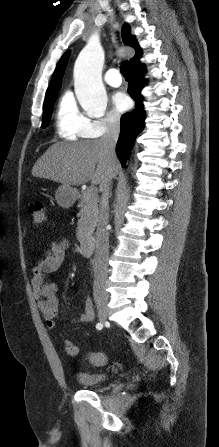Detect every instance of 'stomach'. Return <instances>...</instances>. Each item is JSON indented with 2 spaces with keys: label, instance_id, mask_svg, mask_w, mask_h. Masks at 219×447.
<instances>
[{
  "label": "stomach",
  "instance_id": "1",
  "mask_svg": "<svg viewBox=\"0 0 219 447\" xmlns=\"http://www.w3.org/2000/svg\"><path fill=\"white\" fill-rule=\"evenodd\" d=\"M77 195L78 192L75 188H72L71 186L61 185L56 190L55 197L57 203L61 207L69 208L75 203Z\"/></svg>",
  "mask_w": 219,
  "mask_h": 447
}]
</instances>
